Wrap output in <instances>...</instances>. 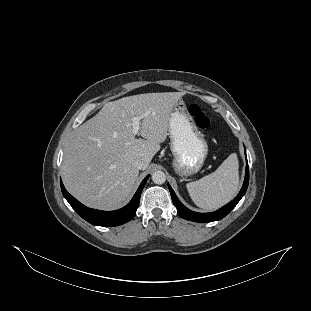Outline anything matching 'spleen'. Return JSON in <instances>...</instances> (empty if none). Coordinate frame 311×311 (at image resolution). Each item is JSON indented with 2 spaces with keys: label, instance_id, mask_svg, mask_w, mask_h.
Returning a JSON list of instances; mask_svg holds the SVG:
<instances>
[{
  "label": "spleen",
  "instance_id": "1",
  "mask_svg": "<svg viewBox=\"0 0 311 311\" xmlns=\"http://www.w3.org/2000/svg\"><path fill=\"white\" fill-rule=\"evenodd\" d=\"M193 202L205 210H216L232 200L239 189V163L230 154L213 173L186 184Z\"/></svg>",
  "mask_w": 311,
  "mask_h": 311
}]
</instances>
